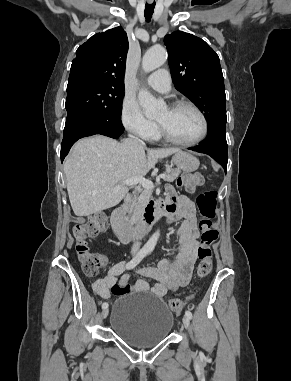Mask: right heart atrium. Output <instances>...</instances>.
<instances>
[{
    "label": "right heart atrium",
    "instance_id": "d8ad5b80",
    "mask_svg": "<svg viewBox=\"0 0 291 381\" xmlns=\"http://www.w3.org/2000/svg\"><path fill=\"white\" fill-rule=\"evenodd\" d=\"M120 116L123 126L128 131L144 139L151 138L156 132V124L144 116L133 99H123Z\"/></svg>",
    "mask_w": 291,
    "mask_h": 381
}]
</instances>
